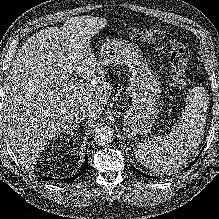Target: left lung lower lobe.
Wrapping results in <instances>:
<instances>
[{
    "instance_id": "left-lung-lower-lobe-1",
    "label": "left lung lower lobe",
    "mask_w": 219,
    "mask_h": 219,
    "mask_svg": "<svg viewBox=\"0 0 219 219\" xmlns=\"http://www.w3.org/2000/svg\"><path fill=\"white\" fill-rule=\"evenodd\" d=\"M197 159H198V157L195 159V161H194L193 163H191V165H193V164L197 161ZM191 165H189V166L187 167V169L190 168ZM131 166H132V165H131ZM132 168H133L136 172H138L139 174L144 175V176H147V175H145L144 173H142V172H140L139 170H137L134 166H132Z\"/></svg>"
}]
</instances>
